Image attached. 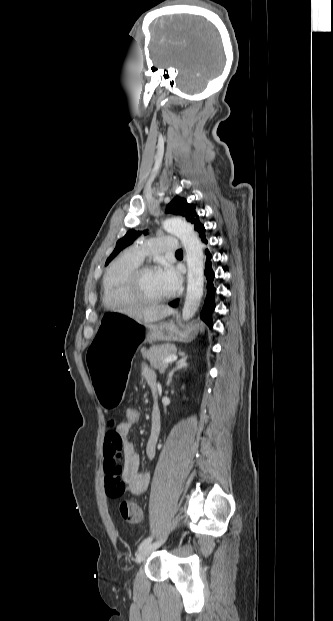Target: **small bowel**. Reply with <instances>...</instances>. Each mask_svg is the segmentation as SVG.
Instances as JSON below:
<instances>
[{
    "mask_svg": "<svg viewBox=\"0 0 333 621\" xmlns=\"http://www.w3.org/2000/svg\"><path fill=\"white\" fill-rule=\"evenodd\" d=\"M143 377L149 387L157 386V376L151 368L144 366ZM112 426L103 444L106 493L112 498L121 497L125 492L141 495L149 487L150 475L140 470V459L129 437L134 425L121 421ZM159 434L160 416L154 407L151 430L145 444V453L149 459L156 454Z\"/></svg>",
    "mask_w": 333,
    "mask_h": 621,
    "instance_id": "small-bowel-1",
    "label": "small bowel"
}]
</instances>
